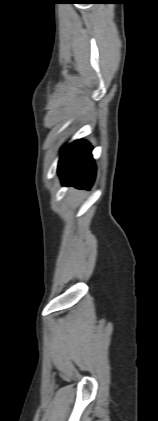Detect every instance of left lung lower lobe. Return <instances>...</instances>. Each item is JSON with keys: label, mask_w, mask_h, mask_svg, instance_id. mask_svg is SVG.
<instances>
[{"label": "left lung lower lobe", "mask_w": 158, "mask_h": 421, "mask_svg": "<svg viewBox=\"0 0 158 421\" xmlns=\"http://www.w3.org/2000/svg\"><path fill=\"white\" fill-rule=\"evenodd\" d=\"M92 147L84 140L71 143L63 149L58 173L63 185L89 189L95 178V165L91 155Z\"/></svg>", "instance_id": "0a47b994"}]
</instances>
